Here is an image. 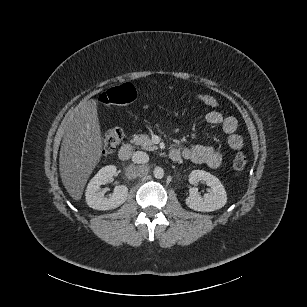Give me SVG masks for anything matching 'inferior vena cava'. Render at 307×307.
Wrapping results in <instances>:
<instances>
[{"label":"inferior vena cava","instance_id":"1","mask_svg":"<svg viewBox=\"0 0 307 307\" xmlns=\"http://www.w3.org/2000/svg\"><path fill=\"white\" fill-rule=\"evenodd\" d=\"M132 161L135 164H145L149 161V156L145 152L137 151L133 154Z\"/></svg>","mask_w":307,"mask_h":307}]
</instances>
